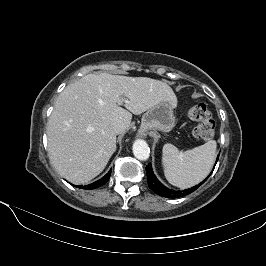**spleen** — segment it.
<instances>
[{
    "mask_svg": "<svg viewBox=\"0 0 266 266\" xmlns=\"http://www.w3.org/2000/svg\"><path fill=\"white\" fill-rule=\"evenodd\" d=\"M216 141L185 152L167 143L163 147L162 165L169 183L179 188H189L202 181L211 171L216 158Z\"/></svg>",
    "mask_w": 266,
    "mask_h": 266,
    "instance_id": "1",
    "label": "spleen"
}]
</instances>
